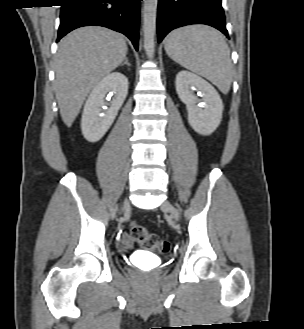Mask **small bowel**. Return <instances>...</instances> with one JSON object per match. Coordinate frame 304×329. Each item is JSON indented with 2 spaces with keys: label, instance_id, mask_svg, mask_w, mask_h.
<instances>
[{
  "label": "small bowel",
  "instance_id": "c3829d8e",
  "mask_svg": "<svg viewBox=\"0 0 304 329\" xmlns=\"http://www.w3.org/2000/svg\"><path fill=\"white\" fill-rule=\"evenodd\" d=\"M122 243H123L127 248L132 247V242H131L130 238H129L126 234H124V235L122 236Z\"/></svg>",
  "mask_w": 304,
  "mask_h": 329
}]
</instances>
